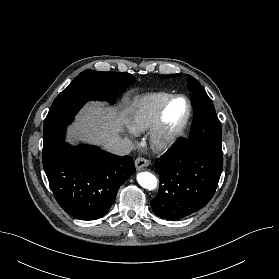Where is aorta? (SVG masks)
Returning <instances> with one entry per match:
<instances>
[{"label":"aorta","instance_id":"aorta-1","mask_svg":"<svg viewBox=\"0 0 279 279\" xmlns=\"http://www.w3.org/2000/svg\"><path fill=\"white\" fill-rule=\"evenodd\" d=\"M137 181L145 189L153 190L157 186L156 177L150 172H140L137 174Z\"/></svg>","mask_w":279,"mask_h":279}]
</instances>
